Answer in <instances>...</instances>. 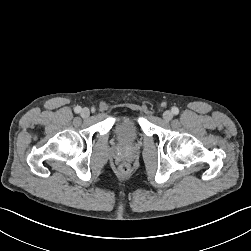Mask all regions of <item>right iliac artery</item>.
<instances>
[{"mask_svg": "<svg viewBox=\"0 0 251 251\" xmlns=\"http://www.w3.org/2000/svg\"><path fill=\"white\" fill-rule=\"evenodd\" d=\"M74 111H75V113H80L81 112V107L80 106H76L74 108Z\"/></svg>", "mask_w": 251, "mask_h": 251, "instance_id": "1", "label": "right iliac artery"}]
</instances>
